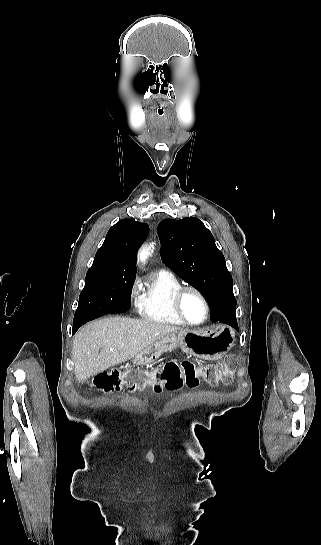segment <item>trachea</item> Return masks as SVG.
Listing matches in <instances>:
<instances>
[{"label": "trachea", "mask_w": 321, "mask_h": 545, "mask_svg": "<svg viewBox=\"0 0 321 545\" xmlns=\"http://www.w3.org/2000/svg\"><path fill=\"white\" fill-rule=\"evenodd\" d=\"M155 111L157 112V114H158L159 116H162V115L164 114V111H163L162 107H160V106H157V107L155 108Z\"/></svg>", "instance_id": "trachea-1"}]
</instances>
